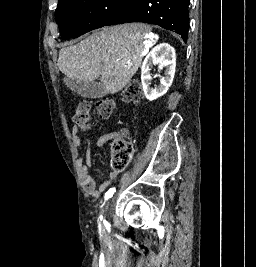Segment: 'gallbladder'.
Returning <instances> with one entry per match:
<instances>
[{"label": "gallbladder", "instance_id": "gallbladder-1", "mask_svg": "<svg viewBox=\"0 0 256 267\" xmlns=\"http://www.w3.org/2000/svg\"><path fill=\"white\" fill-rule=\"evenodd\" d=\"M63 82L67 88H70L74 94L82 96V98H104L108 92H105L104 86L98 82H83L78 78H63Z\"/></svg>", "mask_w": 256, "mask_h": 267}]
</instances>
